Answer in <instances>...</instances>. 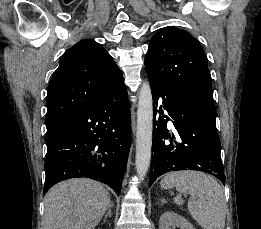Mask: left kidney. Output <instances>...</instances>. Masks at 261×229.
Wrapping results in <instances>:
<instances>
[{
	"label": "left kidney",
	"mask_w": 261,
	"mask_h": 229,
	"mask_svg": "<svg viewBox=\"0 0 261 229\" xmlns=\"http://www.w3.org/2000/svg\"><path fill=\"white\" fill-rule=\"evenodd\" d=\"M172 227H179V229H194L193 225H191L187 219L181 217V215L166 211L159 219V229H172Z\"/></svg>",
	"instance_id": "left-kidney-1"
}]
</instances>
